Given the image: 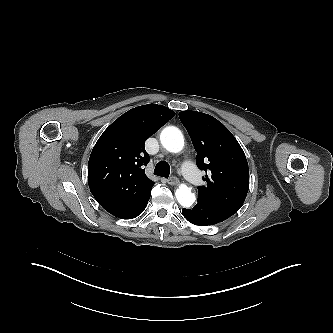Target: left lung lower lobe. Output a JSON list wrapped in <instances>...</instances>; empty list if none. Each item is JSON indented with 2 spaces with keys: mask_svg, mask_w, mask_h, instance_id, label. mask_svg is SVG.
<instances>
[{
  "mask_svg": "<svg viewBox=\"0 0 333 333\" xmlns=\"http://www.w3.org/2000/svg\"><path fill=\"white\" fill-rule=\"evenodd\" d=\"M182 213L189 222L200 226L214 225L232 216L227 211L202 199H198L193 209L183 208Z\"/></svg>",
  "mask_w": 333,
  "mask_h": 333,
  "instance_id": "obj_1",
  "label": "left lung lower lobe"
}]
</instances>
